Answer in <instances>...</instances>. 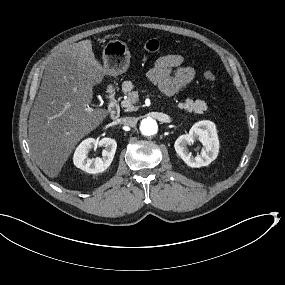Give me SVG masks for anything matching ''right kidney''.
Listing matches in <instances>:
<instances>
[{
    "instance_id": "obj_1",
    "label": "right kidney",
    "mask_w": 285,
    "mask_h": 285,
    "mask_svg": "<svg viewBox=\"0 0 285 285\" xmlns=\"http://www.w3.org/2000/svg\"><path fill=\"white\" fill-rule=\"evenodd\" d=\"M105 147L103 157L89 158L91 149L96 147ZM117 149V143L113 138L104 137L100 140L89 138L84 140L76 149L74 154V164L81 170L88 173H102L106 171L114 158Z\"/></svg>"
}]
</instances>
